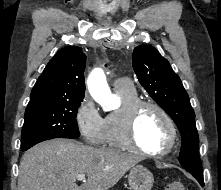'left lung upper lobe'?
I'll list each match as a JSON object with an SVG mask.
<instances>
[{"mask_svg":"<svg viewBox=\"0 0 221 190\" xmlns=\"http://www.w3.org/2000/svg\"><path fill=\"white\" fill-rule=\"evenodd\" d=\"M132 64L140 84L171 116L180 130L181 165L192 175L203 176L195 113L179 76L174 73L168 60L150 45L134 48Z\"/></svg>","mask_w":221,"mask_h":190,"instance_id":"1","label":"left lung upper lobe"}]
</instances>
